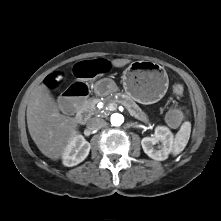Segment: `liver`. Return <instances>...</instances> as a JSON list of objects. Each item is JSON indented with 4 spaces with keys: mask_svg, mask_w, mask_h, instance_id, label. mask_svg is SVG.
<instances>
[{
    "mask_svg": "<svg viewBox=\"0 0 221 221\" xmlns=\"http://www.w3.org/2000/svg\"><path fill=\"white\" fill-rule=\"evenodd\" d=\"M129 62V59H114L111 63L115 67H123ZM27 125L38 149L52 160H58L62 156L78 128L75 118L60 114L54 98L44 84L31 93L27 106Z\"/></svg>",
    "mask_w": 221,
    "mask_h": 221,
    "instance_id": "liver-1",
    "label": "liver"
}]
</instances>
